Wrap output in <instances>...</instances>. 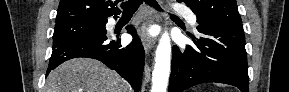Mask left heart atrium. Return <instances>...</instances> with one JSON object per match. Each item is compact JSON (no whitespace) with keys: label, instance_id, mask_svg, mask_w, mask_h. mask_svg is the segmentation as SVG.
Here are the masks:
<instances>
[{"label":"left heart atrium","instance_id":"39dd6f15","mask_svg":"<svg viewBox=\"0 0 289 92\" xmlns=\"http://www.w3.org/2000/svg\"><path fill=\"white\" fill-rule=\"evenodd\" d=\"M152 34H154V30L150 31Z\"/></svg>","mask_w":289,"mask_h":92}]
</instances>
